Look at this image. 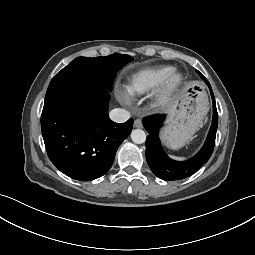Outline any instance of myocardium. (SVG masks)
I'll use <instances>...</instances> for the list:
<instances>
[{
  "mask_svg": "<svg viewBox=\"0 0 255 255\" xmlns=\"http://www.w3.org/2000/svg\"><path fill=\"white\" fill-rule=\"evenodd\" d=\"M183 81V75L174 71L156 92L155 105L159 108L167 107L181 88Z\"/></svg>",
  "mask_w": 255,
  "mask_h": 255,
  "instance_id": "f54148a6",
  "label": "myocardium"
}]
</instances>
